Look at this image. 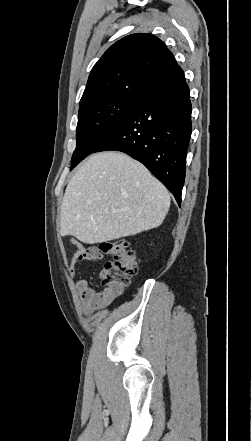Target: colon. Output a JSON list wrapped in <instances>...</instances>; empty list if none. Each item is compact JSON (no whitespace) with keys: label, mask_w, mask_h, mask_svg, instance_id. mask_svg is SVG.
Returning <instances> with one entry per match:
<instances>
[{"label":"colon","mask_w":251,"mask_h":441,"mask_svg":"<svg viewBox=\"0 0 251 441\" xmlns=\"http://www.w3.org/2000/svg\"><path fill=\"white\" fill-rule=\"evenodd\" d=\"M99 250L110 254L113 258L101 270L102 284L110 286L114 290H123L137 273V260L134 250L124 239L101 242Z\"/></svg>","instance_id":"colon-1"}]
</instances>
